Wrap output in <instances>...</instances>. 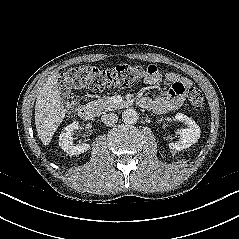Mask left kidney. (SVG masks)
<instances>
[{"label":"left kidney","mask_w":239,"mask_h":239,"mask_svg":"<svg viewBox=\"0 0 239 239\" xmlns=\"http://www.w3.org/2000/svg\"><path fill=\"white\" fill-rule=\"evenodd\" d=\"M175 119L187 125V128L179 130V140L175 143L172 142L169 144L170 149L180 151L189 148L191 145L195 144L200 138L201 130L192 118L182 113H177L175 115Z\"/></svg>","instance_id":"5707ae66"}]
</instances>
